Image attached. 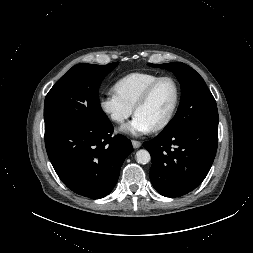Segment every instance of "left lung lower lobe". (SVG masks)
Masks as SVG:
<instances>
[{
	"label": "left lung lower lobe",
	"mask_w": 253,
	"mask_h": 253,
	"mask_svg": "<svg viewBox=\"0 0 253 253\" xmlns=\"http://www.w3.org/2000/svg\"><path fill=\"white\" fill-rule=\"evenodd\" d=\"M218 128L190 127L170 135L159 134L144 143L150 152V179L158 193L178 197L198 187L214 161Z\"/></svg>",
	"instance_id": "1"
}]
</instances>
